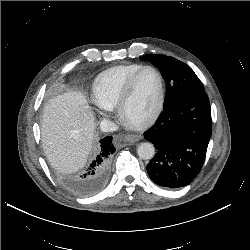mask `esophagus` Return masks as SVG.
<instances>
[{
    "label": "esophagus",
    "instance_id": "esophagus-1",
    "mask_svg": "<svg viewBox=\"0 0 250 250\" xmlns=\"http://www.w3.org/2000/svg\"><path fill=\"white\" fill-rule=\"evenodd\" d=\"M141 139L140 135H126L125 140L130 144L135 143Z\"/></svg>",
    "mask_w": 250,
    "mask_h": 250
}]
</instances>
